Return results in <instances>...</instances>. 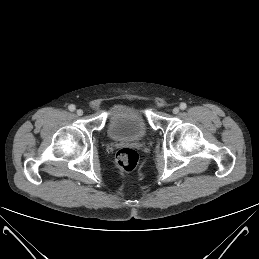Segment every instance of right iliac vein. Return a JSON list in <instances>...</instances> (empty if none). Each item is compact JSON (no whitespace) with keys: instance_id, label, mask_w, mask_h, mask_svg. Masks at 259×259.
Masks as SVG:
<instances>
[{"instance_id":"right-iliac-vein-1","label":"right iliac vein","mask_w":259,"mask_h":259,"mask_svg":"<svg viewBox=\"0 0 259 259\" xmlns=\"http://www.w3.org/2000/svg\"><path fill=\"white\" fill-rule=\"evenodd\" d=\"M76 113H77L78 116H81V115H83V110L78 109V110L76 111Z\"/></svg>"}]
</instances>
